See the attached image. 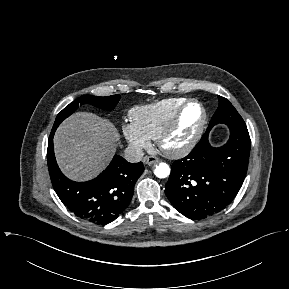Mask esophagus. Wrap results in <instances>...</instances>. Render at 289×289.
I'll list each match as a JSON object with an SVG mask.
<instances>
[{
    "label": "esophagus",
    "mask_w": 289,
    "mask_h": 289,
    "mask_svg": "<svg viewBox=\"0 0 289 289\" xmlns=\"http://www.w3.org/2000/svg\"><path fill=\"white\" fill-rule=\"evenodd\" d=\"M144 162L147 165H152V164L160 162V159L155 156H148V157H145Z\"/></svg>",
    "instance_id": "obj_1"
}]
</instances>
